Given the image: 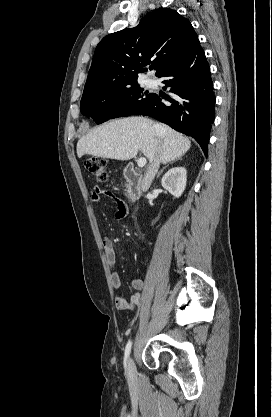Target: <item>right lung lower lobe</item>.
I'll return each mask as SVG.
<instances>
[{"instance_id": "right-lung-lower-lobe-1", "label": "right lung lower lobe", "mask_w": 272, "mask_h": 417, "mask_svg": "<svg viewBox=\"0 0 272 417\" xmlns=\"http://www.w3.org/2000/svg\"><path fill=\"white\" fill-rule=\"evenodd\" d=\"M158 77L164 78V88L169 87L171 94H153L149 102L135 114L153 117L192 136L207 156L210 130L215 118V95L209 64L200 43ZM163 99L167 101L162 102Z\"/></svg>"}]
</instances>
